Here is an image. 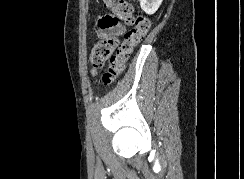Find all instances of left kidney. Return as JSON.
Segmentation results:
<instances>
[{"instance_id": "1", "label": "left kidney", "mask_w": 244, "mask_h": 179, "mask_svg": "<svg viewBox=\"0 0 244 179\" xmlns=\"http://www.w3.org/2000/svg\"><path fill=\"white\" fill-rule=\"evenodd\" d=\"M163 0H140L141 10L146 14H155Z\"/></svg>"}]
</instances>
